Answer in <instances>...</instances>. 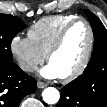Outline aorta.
I'll use <instances>...</instances> for the list:
<instances>
[{
	"mask_svg": "<svg viewBox=\"0 0 107 107\" xmlns=\"http://www.w3.org/2000/svg\"><path fill=\"white\" fill-rule=\"evenodd\" d=\"M42 97L47 104H56L59 101L60 94L56 88L48 87L43 91Z\"/></svg>",
	"mask_w": 107,
	"mask_h": 107,
	"instance_id": "762f6f07",
	"label": "aorta"
}]
</instances>
